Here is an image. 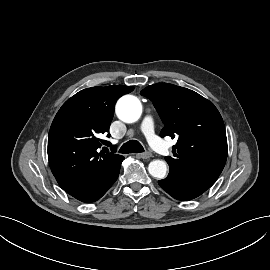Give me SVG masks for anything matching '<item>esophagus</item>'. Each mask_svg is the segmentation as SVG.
<instances>
[{
  "instance_id": "esophagus-1",
  "label": "esophagus",
  "mask_w": 270,
  "mask_h": 270,
  "mask_svg": "<svg viewBox=\"0 0 270 270\" xmlns=\"http://www.w3.org/2000/svg\"><path fill=\"white\" fill-rule=\"evenodd\" d=\"M138 157L142 159H150L152 154L150 152L139 153Z\"/></svg>"
}]
</instances>
